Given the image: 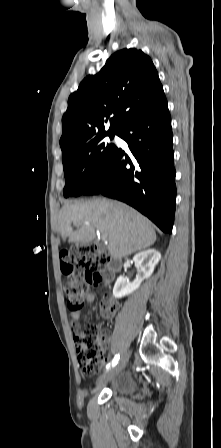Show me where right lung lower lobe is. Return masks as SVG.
Here are the masks:
<instances>
[{
	"label": "right lung lower lobe",
	"mask_w": 221,
	"mask_h": 448,
	"mask_svg": "<svg viewBox=\"0 0 221 448\" xmlns=\"http://www.w3.org/2000/svg\"><path fill=\"white\" fill-rule=\"evenodd\" d=\"M131 155L117 148L84 191L121 200L171 233L176 204L171 117L165 95L137 112L117 134Z\"/></svg>",
	"instance_id": "right-lung-lower-lobe-1"
}]
</instances>
